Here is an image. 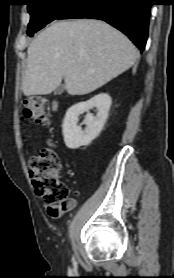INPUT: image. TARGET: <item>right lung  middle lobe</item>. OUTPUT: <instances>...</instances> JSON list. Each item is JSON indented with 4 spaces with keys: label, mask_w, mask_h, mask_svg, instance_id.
Instances as JSON below:
<instances>
[{
    "label": "right lung middle lobe",
    "mask_w": 174,
    "mask_h": 278,
    "mask_svg": "<svg viewBox=\"0 0 174 278\" xmlns=\"http://www.w3.org/2000/svg\"><path fill=\"white\" fill-rule=\"evenodd\" d=\"M75 1L77 0H27L28 12L31 15L27 34L32 37L35 32L56 19Z\"/></svg>",
    "instance_id": "1"
}]
</instances>
